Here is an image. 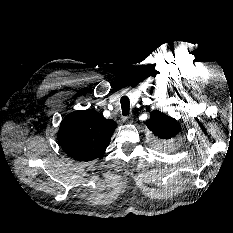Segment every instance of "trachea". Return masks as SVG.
Segmentation results:
<instances>
[{"label": "trachea", "instance_id": "obj_1", "mask_svg": "<svg viewBox=\"0 0 233 233\" xmlns=\"http://www.w3.org/2000/svg\"><path fill=\"white\" fill-rule=\"evenodd\" d=\"M121 103V108H122V114L123 116H128L129 115V110H130V101L127 96H123L120 100Z\"/></svg>", "mask_w": 233, "mask_h": 233}]
</instances>
